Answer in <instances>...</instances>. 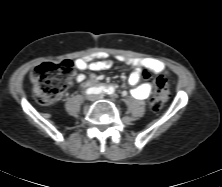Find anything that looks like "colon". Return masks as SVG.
<instances>
[{
    "label": "colon",
    "mask_w": 222,
    "mask_h": 187,
    "mask_svg": "<svg viewBox=\"0 0 222 187\" xmlns=\"http://www.w3.org/2000/svg\"><path fill=\"white\" fill-rule=\"evenodd\" d=\"M73 64L65 60L59 63L45 62L36 66L31 73L33 95L37 102L48 105L55 102L60 94L66 90L73 79ZM149 79L148 74H144ZM170 92L163 78L155 79L152 93V107L154 110L162 108L169 100Z\"/></svg>",
    "instance_id": "colon-1"
}]
</instances>
